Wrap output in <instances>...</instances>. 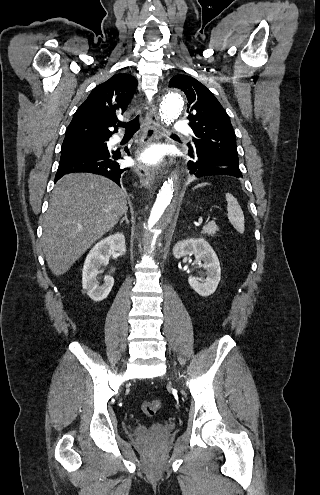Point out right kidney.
I'll return each mask as SVG.
<instances>
[{
  "mask_svg": "<svg viewBox=\"0 0 320 495\" xmlns=\"http://www.w3.org/2000/svg\"><path fill=\"white\" fill-rule=\"evenodd\" d=\"M125 251V237L122 233H116L102 239L90 250L83 266L82 286L93 301L104 300L114 285V278L110 275L105 276L102 285L99 284L97 276L100 267L108 263L109 257L113 253L118 252L123 255Z\"/></svg>",
  "mask_w": 320,
  "mask_h": 495,
  "instance_id": "obj_1",
  "label": "right kidney"
}]
</instances>
